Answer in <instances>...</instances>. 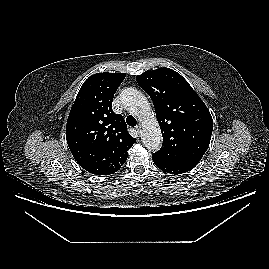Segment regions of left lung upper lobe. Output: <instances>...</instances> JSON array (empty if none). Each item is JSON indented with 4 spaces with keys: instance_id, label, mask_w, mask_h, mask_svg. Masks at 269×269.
Wrapping results in <instances>:
<instances>
[{
    "instance_id": "1",
    "label": "left lung upper lobe",
    "mask_w": 269,
    "mask_h": 269,
    "mask_svg": "<svg viewBox=\"0 0 269 269\" xmlns=\"http://www.w3.org/2000/svg\"><path fill=\"white\" fill-rule=\"evenodd\" d=\"M151 97L163 136L153 156L194 168L206 152L213 130L212 116L190 84L176 71L159 68L136 77Z\"/></svg>"
}]
</instances>
